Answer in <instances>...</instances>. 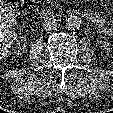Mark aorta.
I'll return each mask as SVG.
<instances>
[{"instance_id":"obj_1","label":"aorta","mask_w":113,"mask_h":113,"mask_svg":"<svg viewBox=\"0 0 113 113\" xmlns=\"http://www.w3.org/2000/svg\"><path fill=\"white\" fill-rule=\"evenodd\" d=\"M81 25H82V20L78 16L73 15L67 19V26L71 30H78L80 29Z\"/></svg>"}]
</instances>
